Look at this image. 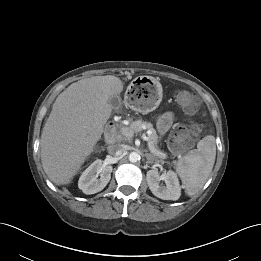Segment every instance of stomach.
Here are the masks:
<instances>
[{
	"instance_id": "obj_1",
	"label": "stomach",
	"mask_w": 261,
	"mask_h": 261,
	"mask_svg": "<svg viewBox=\"0 0 261 261\" xmlns=\"http://www.w3.org/2000/svg\"><path fill=\"white\" fill-rule=\"evenodd\" d=\"M163 89L159 80L152 77L134 79L128 87L125 102L134 111L147 114L162 101Z\"/></svg>"
}]
</instances>
